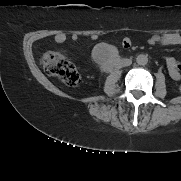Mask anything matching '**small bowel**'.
<instances>
[{"instance_id":"c3829d8e","label":"small bowel","mask_w":181,"mask_h":181,"mask_svg":"<svg viewBox=\"0 0 181 181\" xmlns=\"http://www.w3.org/2000/svg\"><path fill=\"white\" fill-rule=\"evenodd\" d=\"M67 36L64 33H58L54 37V41L57 44H62L66 41ZM72 39L74 41L78 40L77 35H73ZM149 44L155 45L160 44L164 46H173V45H181V35L178 33H166L162 35H153L149 40ZM131 44L129 38H124L122 41V45L125 48H128ZM166 66L170 77L174 80L181 79V64L173 57L166 58Z\"/></svg>"}]
</instances>
